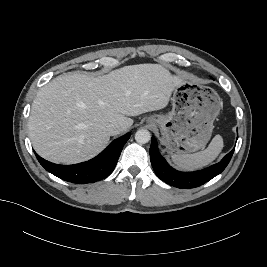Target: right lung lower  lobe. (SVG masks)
Segmentation results:
<instances>
[{
  "label": "right lung lower lobe",
  "instance_id": "right-lung-lower-lobe-1",
  "mask_svg": "<svg viewBox=\"0 0 267 267\" xmlns=\"http://www.w3.org/2000/svg\"><path fill=\"white\" fill-rule=\"evenodd\" d=\"M129 138L130 134L127 133L114 140L95 158L75 165H57L41 158L37 154L36 157L48 172L62 180L79 184L93 183L108 177L112 173L122 148Z\"/></svg>",
  "mask_w": 267,
  "mask_h": 267
}]
</instances>
